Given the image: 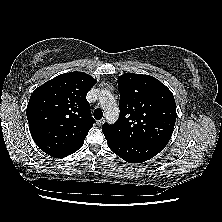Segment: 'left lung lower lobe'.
<instances>
[{"label": "left lung lower lobe", "instance_id": "1", "mask_svg": "<svg viewBox=\"0 0 222 222\" xmlns=\"http://www.w3.org/2000/svg\"><path fill=\"white\" fill-rule=\"evenodd\" d=\"M109 148L129 163H142L157 155L164 145L153 142H131L103 132Z\"/></svg>", "mask_w": 222, "mask_h": 222}]
</instances>
